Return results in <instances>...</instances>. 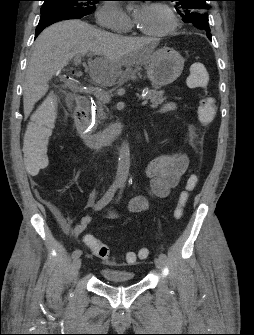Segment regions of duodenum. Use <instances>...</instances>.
Masks as SVG:
<instances>
[{"mask_svg":"<svg viewBox=\"0 0 254 335\" xmlns=\"http://www.w3.org/2000/svg\"><path fill=\"white\" fill-rule=\"evenodd\" d=\"M89 109V99L84 95L77 96L75 125L78 134L89 148L98 149L110 145L120 133L122 126L120 124H112L101 133L92 134L90 131Z\"/></svg>","mask_w":254,"mask_h":335,"instance_id":"duodenum-1","label":"duodenum"}]
</instances>
